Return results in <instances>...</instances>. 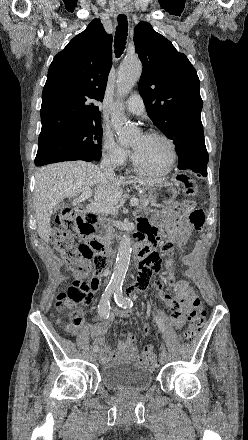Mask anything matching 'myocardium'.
<instances>
[{
  "label": "myocardium",
  "instance_id": "myocardium-1",
  "mask_svg": "<svg viewBox=\"0 0 248 440\" xmlns=\"http://www.w3.org/2000/svg\"><path fill=\"white\" fill-rule=\"evenodd\" d=\"M144 136L146 137H152V138H159L161 140H163L169 147L170 150V159L168 162V165L159 171H150V170H146L141 168L140 166H138V164L135 162L133 155L131 156V165L132 168L135 172L144 175V176H149V177H161V176H165L167 174H169L173 168L174 165L176 163L177 160V149L175 146V143L173 142V140L168 137L166 134L159 132V131H150L144 134Z\"/></svg>",
  "mask_w": 248,
  "mask_h": 440
}]
</instances>
